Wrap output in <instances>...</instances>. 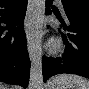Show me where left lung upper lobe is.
<instances>
[{"label":"left lung upper lobe","instance_id":"1","mask_svg":"<svg viewBox=\"0 0 89 89\" xmlns=\"http://www.w3.org/2000/svg\"><path fill=\"white\" fill-rule=\"evenodd\" d=\"M67 5L83 6L89 8V0H63Z\"/></svg>","mask_w":89,"mask_h":89}]
</instances>
